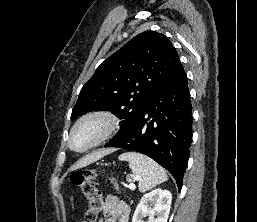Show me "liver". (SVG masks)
Masks as SVG:
<instances>
[{"label":"liver","instance_id":"6515ba94","mask_svg":"<svg viewBox=\"0 0 257 222\" xmlns=\"http://www.w3.org/2000/svg\"><path fill=\"white\" fill-rule=\"evenodd\" d=\"M112 150L108 149V150H102L99 152H96L94 154H91L87 157H85L84 159L80 160L75 166H73L71 169H77V168H81L84 167L86 165H89L90 163L100 159L101 157L111 153Z\"/></svg>","mask_w":257,"mask_h":222}]
</instances>
